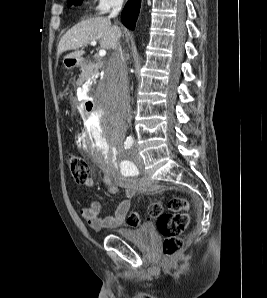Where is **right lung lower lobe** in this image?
I'll use <instances>...</instances> for the list:
<instances>
[{
  "mask_svg": "<svg viewBox=\"0 0 267 298\" xmlns=\"http://www.w3.org/2000/svg\"><path fill=\"white\" fill-rule=\"evenodd\" d=\"M140 3L141 0H129L122 12V23L131 30L135 28L140 9Z\"/></svg>",
  "mask_w": 267,
  "mask_h": 298,
  "instance_id": "obj_1",
  "label": "right lung lower lobe"
}]
</instances>
